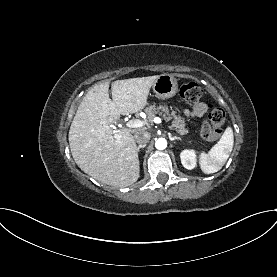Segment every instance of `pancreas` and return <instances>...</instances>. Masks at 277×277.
I'll list each match as a JSON object with an SVG mask.
<instances>
[{
	"label": "pancreas",
	"mask_w": 277,
	"mask_h": 277,
	"mask_svg": "<svg viewBox=\"0 0 277 277\" xmlns=\"http://www.w3.org/2000/svg\"><path fill=\"white\" fill-rule=\"evenodd\" d=\"M145 112L148 119L152 121L156 114L162 116L166 121L172 120L171 129L176 130L179 134L184 135L188 133V129L185 128V119L176 114V111L169 112V109L165 105L156 106L155 104L146 107Z\"/></svg>",
	"instance_id": "obj_1"
}]
</instances>
